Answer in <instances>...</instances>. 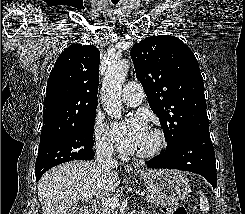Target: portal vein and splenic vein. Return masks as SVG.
I'll list each match as a JSON object with an SVG mask.
<instances>
[{"label": "portal vein and splenic vein", "mask_w": 245, "mask_h": 214, "mask_svg": "<svg viewBox=\"0 0 245 214\" xmlns=\"http://www.w3.org/2000/svg\"><path fill=\"white\" fill-rule=\"evenodd\" d=\"M136 194L140 195V196H145V193L140 192V191H136ZM92 198H93V194L85 195L86 200H91ZM100 203H101V206L111 207V208L116 209L118 207V204H119V198H117V197H102L100 199Z\"/></svg>", "instance_id": "obj_1"}]
</instances>
